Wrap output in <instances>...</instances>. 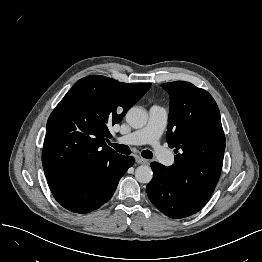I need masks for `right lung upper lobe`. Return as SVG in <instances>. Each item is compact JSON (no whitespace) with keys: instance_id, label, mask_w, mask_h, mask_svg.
<instances>
[{"instance_id":"obj_1","label":"right lung upper lobe","mask_w":262,"mask_h":262,"mask_svg":"<svg viewBox=\"0 0 262 262\" xmlns=\"http://www.w3.org/2000/svg\"><path fill=\"white\" fill-rule=\"evenodd\" d=\"M151 83L127 84L100 75L80 79L51 113L42 164L48 181L98 176L120 157L106 145L119 123Z\"/></svg>"}]
</instances>
